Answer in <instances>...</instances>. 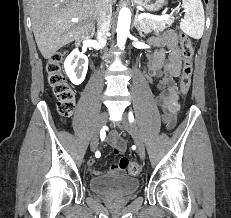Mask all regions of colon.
<instances>
[{"mask_svg": "<svg viewBox=\"0 0 231 218\" xmlns=\"http://www.w3.org/2000/svg\"><path fill=\"white\" fill-rule=\"evenodd\" d=\"M179 45L184 59L180 89L181 92L186 95L191 85L193 46L190 38L182 32L179 34ZM64 56V52H56L53 54L48 59L45 69L48 83L58 102V112L63 118H69L75 107V93L63 71ZM114 152L118 154L120 150L114 148ZM119 164L131 176H137L141 173V165L137 162H131L127 158H121Z\"/></svg>", "mask_w": 231, "mask_h": 218, "instance_id": "colon-1", "label": "colon"}]
</instances>
